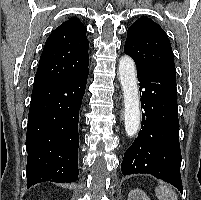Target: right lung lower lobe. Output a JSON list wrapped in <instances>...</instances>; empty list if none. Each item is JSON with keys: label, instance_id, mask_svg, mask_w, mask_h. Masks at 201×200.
Here are the masks:
<instances>
[{"label": "right lung lower lobe", "instance_id": "98d812e1", "mask_svg": "<svg viewBox=\"0 0 201 200\" xmlns=\"http://www.w3.org/2000/svg\"><path fill=\"white\" fill-rule=\"evenodd\" d=\"M88 65L70 79L32 91L26 134L27 188L78 179L79 110Z\"/></svg>", "mask_w": 201, "mask_h": 200}]
</instances>
